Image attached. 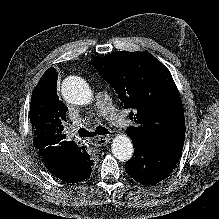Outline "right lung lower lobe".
<instances>
[{"instance_id": "right-lung-lower-lobe-1", "label": "right lung lower lobe", "mask_w": 219, "mask_h": 219, "mask_svg": "<svg viewBox=\"0 0 219 219\" xmlns=\"http://www.w3.org/2000/svg\"><path fill=\"white\" fill-rule=\"evenodd\" d=\"M68 152H69L68 155L69 159L75 162V164L72 165V167H76L74 169L75 173L73 174L72 177L73 179L71 183H77L88 178L92 172V168H91L92 161L89 164V161L86 160V158H84L83 154H79L76 150H71L64 153H68Z\"/></svg>"}]
</instances>
